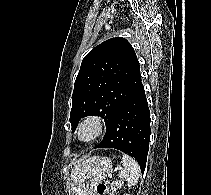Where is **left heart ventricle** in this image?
Here are the masks:
<instances>
[{"mask_svg": "<svg viewBox=\"0 0 211 195\" xmlns=\"http://www.w3.org/2000/svg\"><path fill=\"white\" fill-rule=\"evenodd\" d=\"M94 129L92 126H87L84 130H83V136L84 137H89L92 135Z\"/></svg>", "mask_w": 211, "mask_h": 195, "instance_id": "b2bd125f", "label": "left heart ventricle"}]
</instances>
